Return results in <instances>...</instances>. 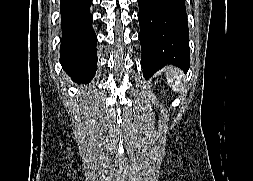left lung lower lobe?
Listing matches in <instances>:
<instances>
[{
	"label": "left lung lower lobe",
	"instance_id": "left-lung-lower-lobe-1",
	"mask_svg": "<svg viewBox=\"0 0 253 181\" xmlns=\"http://www.w3.org/2000/svg\"><path fill=\"white\" fill-rule=\"evenodd\" d=\"M138 5L144 77L166 64L187 71L190 52L184 0H138Z\"/></svg>",
	"mask_w": 253,
	"mask_h": 181
}]
</instances>
